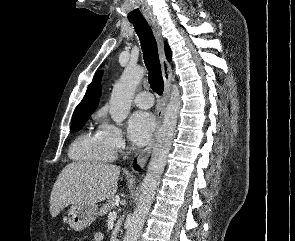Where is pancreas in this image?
<instances>
[{
  "instance_id": "pancreas-1",
  "label": "pancreas",
  "mask_w": 295,
  "mask_h": 241,
  "mask_svg": "<svg viewBox=\"0 0 295 241\" xmlns=\"http://www.w3.org/2000/svg\"><path fill=\"white\" fill-rule=\"evenodd\" d=\"M115 207V200H108L99 211L100 216H104Z\"/></svg>"
}]
</instances>
